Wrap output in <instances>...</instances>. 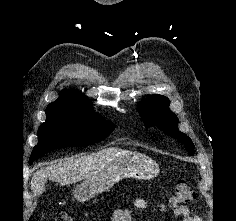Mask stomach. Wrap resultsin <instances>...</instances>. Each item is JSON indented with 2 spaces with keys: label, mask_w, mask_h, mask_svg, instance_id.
Here are the masks:
<instances>
[{
  "label": "stomach",
  "mask_w": 236,
  "mask_h": 221,
  "mask_svg": "<svg viewBox=\"0 0 236 221\" xmlns=\"http://www.w3.org/2000/svg\"><path fill=\"white\" fill-rule=\"evenodd\" d=\"M159 172L158 164L140 153L120 152L107 160L93 175L74 189V197L81 202L110 189L123 178L149 180Z\"/></svg>",
  "instance_id": "obj_1"
}]
</instances>
